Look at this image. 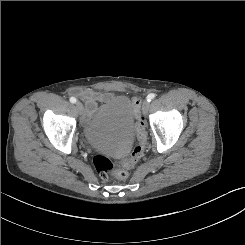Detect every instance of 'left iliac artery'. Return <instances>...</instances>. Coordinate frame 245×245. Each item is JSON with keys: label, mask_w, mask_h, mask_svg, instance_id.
Listing matches in <instances>:
<instances>
[{"label": "left iliac artery", "mask_w": 245, "mask_h": 245, "mask_svg": "<svg viewBox=\"0 0 245 245\" xmlns=\"http://www.w3.org/2000/svg\"><path fill=\"white\" fill-rule=\"evenodd\" d=\"M156 97V95L154 93H151L147 96V100L148 102H150L151 100H153Z\"/></svg>", "instance_id": "left-iliac-artery-1"}]
</instances>
